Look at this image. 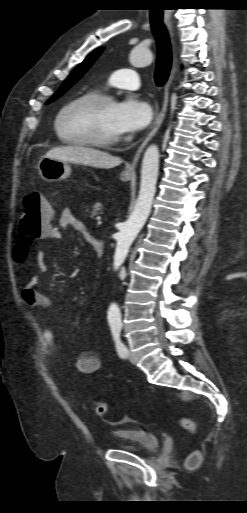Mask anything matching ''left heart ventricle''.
<instances>
[{"label": "left heart ventricle", "instance_id": "b2bd125f", "mask_svg": "<svg viewBox=\"0 0 247 513\" xmlns=\"http://www.w3.org/2000/svg\"><path fill=\"white\" fill-rule=\"evenodd\" d=\"M116 103L80 104L68 110L61 120L66 137L108 140L120 137L115 126Z\"/></svg>", "mask_w": 247, "mask_h": 513}]
</instances>
